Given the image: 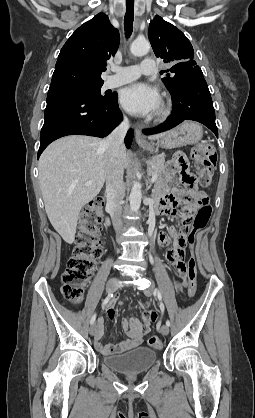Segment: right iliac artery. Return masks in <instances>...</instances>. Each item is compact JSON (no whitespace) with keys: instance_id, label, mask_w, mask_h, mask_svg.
Returning <instances> with one entry per match:
<instances>
[{"instance_id":"82829eb1","label":"right iliac artery","mask_w":255,"mask_h":418,"mask_svg":"<svg viewBox=\"0 0 255 418\" xmlns=\"http://www.w3.org/2000/svg\"><path fill=\"white\" fill-rule=\"evenodd\" d=\"M113 297V294L112 293H109L108 294V296L103 300V302H102V306H105L108 302H109V300L111 299ZM95 319H96V314H94L92 317H91V320H90V324L92 325L94 322H95Z\"/></svg>"}]
</instances>
